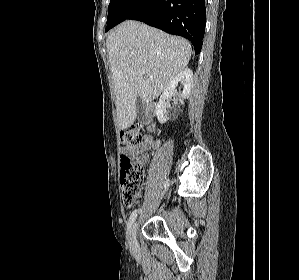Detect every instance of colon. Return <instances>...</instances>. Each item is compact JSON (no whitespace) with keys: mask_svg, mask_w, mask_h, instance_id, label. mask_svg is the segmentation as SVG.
<instances>
[{"mask_svg":"<svg viewBox=\"0 0 299 280\" xmlns=\"http://www.w3.org/2000/svg\"><path fill=\"white\" fill-rule=\"evenodd\" d=\"M142 141V132L136 126L121 131V145L124 151L141 144ZM143 181V162L133 160L124 152L120 158V184L122 200L126 207H132L137 202Z\"/></svg>","mask_w":299,"mask_h":280,"instance_id":"1","label":"colon"}]
</instances>
